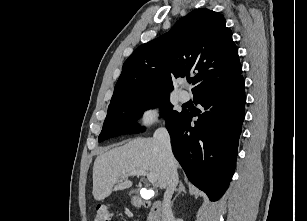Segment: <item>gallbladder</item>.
<instances>
[{"mask_svg":"<svg viewBox=\"0 0 307 221\" xmlns=\"http://www.w3.org/2000/svg\"><path fill=\"white\" fill-rule=\"evenodd\" d=\"M133 193H134V191H130V192H129V195H131V194H133Z\"/></svg>","mask_w":307,"mask_h":221,"instance_id":"obj_1","label":"gallbladder"}]
</instances>
